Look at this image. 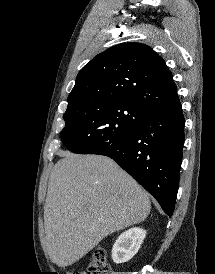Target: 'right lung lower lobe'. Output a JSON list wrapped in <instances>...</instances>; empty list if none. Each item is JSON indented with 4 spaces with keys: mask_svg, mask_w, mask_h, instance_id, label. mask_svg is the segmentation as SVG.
Here are the masks:
<instances>
[{
    "mask_svg": "<svg viewBox=\"0 0 215 274\" xmlns=\"http://www.w3.org/2000/svg\"><path fill=\"white\" fill-rule=\"evenodd\" d=\"M181 103L148 113L128 135L90 154L115 160L172 215L184 144Z\"/></svg>",
    "mask_w": 215,
    "mask_h": 274,
    "instance_id": "1",
    "label": "right lung lower lobe"
}]
</instances>
